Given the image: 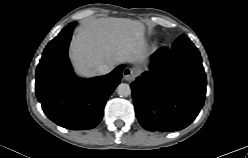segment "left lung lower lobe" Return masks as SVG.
<instances>
[{
  "label": "left lung lower lobe",
  "mask_w": 248,
  "mask_h": 158,
  "mask_svg": "<svg viewBox=\"0 0 248 158\" xmlns=\"http://www.w3.org/2000/svg\"><path fill=\"white\" fill-rule=\"evenodd\" d=\"M151 71L131 84L136 116L146 130L172 132L188 126L204 104L206 75L198 49L177 38L152 56Z\"/></svg>",
  "instance_id": "obj_1"
}]
</instances>
